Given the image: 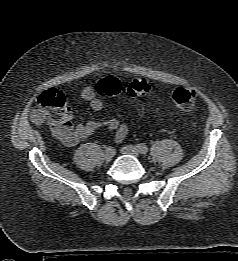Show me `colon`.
Instances as JSON below:
<instances>
[{
    "instance_id": "5ec220e1",
    "label": "colon",
    "mask_w": 238,
    "mask_h": 261,
    "mask_svg": "<svg viewBox=\"0 0 238 261\" xmlns=\"http://www.w3.org/2000/svg\"><path fill=\"white\" fill-rule=\"evenodd\" d=\"M150 84L145 79H135L127 87L132 98H145L150 92ZM98 95L112 97L120 93L121 84L118 79L108 77L96 85ZM172 100L181 111H190L196 100V92L191 88L179 87L173 91ZM71 117L70 106L66 94L56 89L43 92L37 99V106L32 118L36 123L47 120L50 125H57Z\"/></svg>"
}]
</instances>
